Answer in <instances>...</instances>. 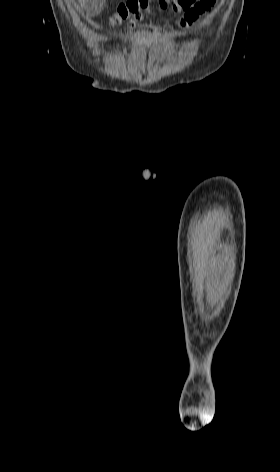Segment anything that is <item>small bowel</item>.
Listing matches in <instances>:
<instances>
[{"label": "small bowel", "instance_id": "obj_1", "mask_svg": "<svg viewBox=\"0 0 280 472\" xmlns=\"http://www.w3.org/2000/svg\"><path fill=\"white\" fill-rule=\"evenodd\" d=\"M174 9L182 14L179 21L181 27L191 26L215 3V0H181Z\"/></svg>", "mask_w": 280, "mask_h": 472}]
</instances>
